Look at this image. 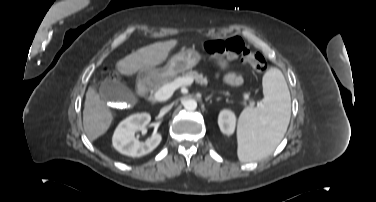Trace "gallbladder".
I'll use <instances>...</instances> for the list:
<instances>
[{
    "mask_svg": "<svg viewBox=\"0 0 376 202\" xmlns=\"http://www.w3.org/2000/svg\"><path fill=\"white\" fill-rule=\"evenodd\" d=\"M101 98L104 101L114 103L132 102L134 95L127 86L114 79H106L99 88Z\"/></svg>",
    "mask_w": 376,
    "mask_h": 202,
    "instance_id": "obj_1",
    "label": "gallbladder"
}]
</instances>
